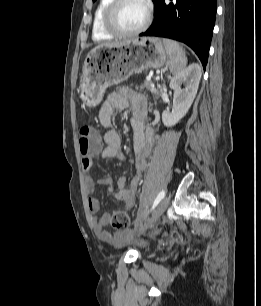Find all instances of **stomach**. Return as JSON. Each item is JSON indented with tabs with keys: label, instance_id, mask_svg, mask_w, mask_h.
I'll return each mask as SVG.
<instances>
[{
	"label": "stomach",
	"instance_id": "0dacf381",
	"mask_svg": "<svg viewBox=\"0 0 261 306\" xmlns=\"http://www.w3.org/2000/svg\"><path fill=\"white\" fill-rule=\"evenodd\" d=\"M167 62L165 46L157 37H137L98 46L85 59L80 97L87 106H95L109 86L127 80L133 73L160 68Z\"/></svg>",
	"mask_w": 261,
	"mask_h": 306
}]
</instances>
